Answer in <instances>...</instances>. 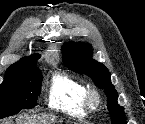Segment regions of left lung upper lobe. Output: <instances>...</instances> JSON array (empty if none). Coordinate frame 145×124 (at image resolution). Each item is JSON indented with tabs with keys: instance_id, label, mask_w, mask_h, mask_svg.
Instances as JSON below:
<instances>
[{
	"instance_id": "5c2ea615",
	"label": "left lung upper lobe",
	"mask_w": 145,
	"mask_h": 124,
	"mask_svg": "<svg viewBox=\"0 0 145 124\" xmlns=\"http://www.w3.org/2000/svg\"><path fill=\"white\" fill-rule=\"evenodd\" d=\"M63 62L72 71L86 74L93 79L96 86L104 89L107 95V107L111 114L112 124H126L124 110L118 106V94L111 83L107 68L91 59L92 49L89 44L69 42L63 48Z\"/></svg>"
}]
</instances>
